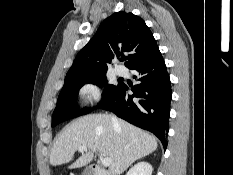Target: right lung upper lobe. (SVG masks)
Returning a JSON list of instances; mask_svg holds the SVG:
<instances>
[{
	"mask_svg": "<svg viewBox=\"0 0 233 175\" xmlns=\"http://www.w3.org/2000/svg\"><path fill=\"white\" fill-rule=\"evenodd\" d=\"M128 52L130 68L159 52L156 40L142 18L125 11L105 19L96 34L77 54L65 81L106 73L107 65L116 56Z\"/></svg>",
	"mask_w": 233,
	"mask_h": 175,
	"instance_id": "cb5924a9",
	"label": "right lung upper lobe"
}]
</instances>
